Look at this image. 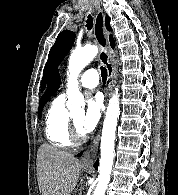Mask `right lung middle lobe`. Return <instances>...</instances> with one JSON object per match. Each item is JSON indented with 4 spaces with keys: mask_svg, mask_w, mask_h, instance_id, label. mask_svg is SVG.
Wrapping results in <instances>:
<instances>
[{
    "mask_svg": "<svg viewBox=\"0 0 178 195\" xmlns=\"http://www.w3.org/2000/svg\"><path fill=\"white\" fill-rule=\"evenodd\" d=\"M43 107H44V105H41V106L38 107V118L39 119H41Z\"/></svg>",
    "mask_w": 178,
    "mask_h": 195,
    "instance_id": "right-lung-middle-lobe-1",
    "label": "right lung middle lobe"
}]
</instances>
